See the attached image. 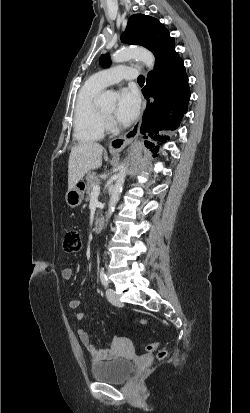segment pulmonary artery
Masks as SVG:
<instances>
[{
	"label": "pulmonary artery",
	"mask_w": 250,
	"mask_h": 413,
	"mask_svg": "<svg viewBox=\"0 0 250 413\" xmlns=\"http://www.w3.org/2000/svg\"><path fill=\"white\" fill-rule=\"evenodd\" d=\"M137 77V70L126 66H115L102 70L91 77V80L101 88L119 83L123 79L133 80Z\"/></svg>",
	"instance_id": "pulmonary-artery-1"
}]
</instances>
